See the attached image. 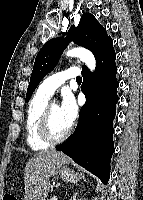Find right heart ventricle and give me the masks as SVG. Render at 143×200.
I'll return each instance as SVG.
<instances>
[{
  "instance_id": "obj_1",
  "label": "right heart ventricle",
  "mask_w": 143,
  "mask_h": 200,
  "mask_svg": "<svg viewBox=\"0 0 143 200\" xmlns=\"http://www.w3.org/2000/svg\"><path fill=\"white\" fill-rule=\"evenodd\" d=\"M48 99L49 96L38 89L32 97L27 110L25 121L26 142L35 151L44 150L49 147V144L40 139L37 132L38 123L44 108L48 104Z\"/></svg>"
}]
</instances>
